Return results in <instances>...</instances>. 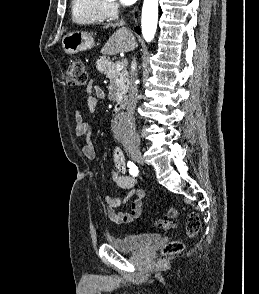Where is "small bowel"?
Listing matches in <instances>:
<instances>
[{"instance_id": "obj_1", "label": "small bowel", "mask_w": 259, "mask_h": 294, "mask_svg": "<svg viewBox=\"0 0 259 294\" xmlns=\"http://www.w3.org/2000/svg\"><path fill=\"white\" fill-rule=\"evenodd\" d=\"M87 92L89 93L87 108L93 113L96 111L98 101L105 97V93L101 87L93 86V84L88 85ZM74 129L76 135L85 137L81 146L82 154L88 159H94L96 157V150L91 140L92 127L84 120L80 110L74 112ZM112 157L117 168V171L111 173L112 180L119 188L129 190V192L121 198L108 194L104 196L107 215L115 224H129L140 217L145 192L142 189H134L138 180L126 174V166L121 153L115 150L112 152ZM130 199V211L117 210V208Z\"/></svg>"}]
</instances>
